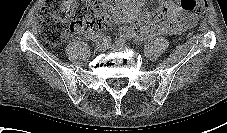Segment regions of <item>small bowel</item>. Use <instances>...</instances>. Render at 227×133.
I'll return each instance as SVG.
<instances>
[{"mask_svg":"<svg viewBox=\"0 0 227 133\" xmlns=\"http://www.w3.org/2000/svg\"><path fill=\"white\" fill-rule=\"evenodd\" d=\"M143 3L144 0H122L116 19L135 23L132 26L120 27L121 35L141 41L155 35L180 34L196 23V18L185 14L177 1L159 0L160 9L156 13L147 14L142 13ZM154 18L164 19V22L157 25L153 22ZM100 35V30L85 33V37L90 40H95Z\"/></svg>","mask_w":227,"mask_h":133,"instance_id":"1","label":"small bowel"}]
</instances>
